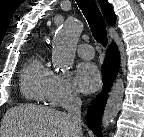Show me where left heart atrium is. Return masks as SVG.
I'll list each match as a JSON object with an SVG mask.
<instances>
[{"instance_id":"left-heart-atrium-1","label":"left heart atrium","mask_w":144,"mask_h":137,"mask_svg":"<svg viewBox=\"0 0 144 137\" xmlns=\"http://www.w3.org/2000/svg\"><path fill=\"white\" fill-rule=\"evenodd\" d=\"M76 80L78 88L86 94L95 92L101 85L99 70L92 63H83L78 67Z\"/></svg>"}]
</instances>
